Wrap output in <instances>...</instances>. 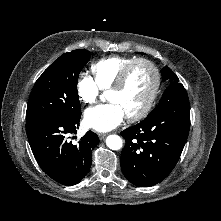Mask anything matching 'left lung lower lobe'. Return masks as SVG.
Instances as JSON below:
<instances>
[{"mask_svg":"<svg viewBox=\"0 0 221 221\" xmlns=\"http://www.w3.org/2000/svg\"><path fill=\"white\" fill-rule=\"evenodd\" d=\"M152 114L121 132L126 141L121 170L139 187L164 180L177 164L190 130V106L186 93L171 94Z\"/></svg>","mask_w":221,"mask_h":221,"instance_id":"1","label":"left lung lower lobe"}]
</instances>
